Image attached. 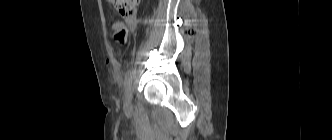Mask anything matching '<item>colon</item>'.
Returning <instances> with one entry per match:
<instances>
[{"mask_svg": "<svg viewBox=\"0 0 332 140\" xmlns=\"http://www.w3.org/2000/svg\"><path fill=\"white\" fill-rule=\"evenodd\" d=\"M110 5L123 17L133 18L136 14L140 0H107ZM114 31V39L119 43L126 40V29L120 22H114L112 25Z\"/></svg>", "mask_w": 332, "mask_h": 140, "instance_id": "colon-1", "label": "colon"}]
</instances>
